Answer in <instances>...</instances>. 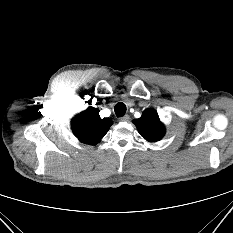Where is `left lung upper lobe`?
I'll return each instance as SVG.
<instances>
[{"instance_id": "obj_1", "label": "left lung upper lobe", "mask_w": 233, "mask_h": 233, "mask_svg": "<svg viewBox=\"0 0 233 233\" xmlns=\"http://www.w3.org/2000/svg\"><path fill=\"white\" fill-rule=\"evenodd\" d=\"M139 133L147 141H159L165 132L163 124L160 122L159 116L153 109H147L143 112L142 117L133 120Z\"/></svg>"}]
</instances>
